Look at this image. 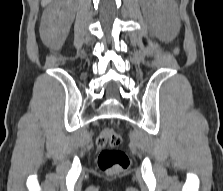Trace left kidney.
I'll return each mask as SVG.
<instances>
[{
    "mask_svg": "<svg viewBox=\"0 0 223 191\" xmlns=\"http://www.w3.org/2000/svg\"><path fill=\"white\" fill-rule=\"evenodd\" d=\"M140 3L155 35L164 41L174 39L180 28V20L174 1L140 0Z\"/></svg>",
    "mask_w": 223,
    "mask_h": 191,
    "instance_id": "5707ae66",
    "label": "left kidney"
}]
</instances>
